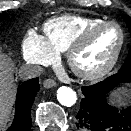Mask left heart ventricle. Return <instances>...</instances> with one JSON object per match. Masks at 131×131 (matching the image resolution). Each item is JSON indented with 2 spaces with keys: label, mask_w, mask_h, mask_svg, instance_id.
I'll return each instance as SVG.
<instances>
[{
  "label": "left heart ventricle",
  "mask_w": 131,
  "mask_h": 131,
  "mask_svg": "<svg viewBox=\"0 0 131 131\" xmlns=\"http://www.w3.org/2000/svg\"><path fill=\"white\" fill-rule=\"evenodd\" d=\"M119 41L120 32L115 26L100 29L76 55V65L83 70L101 68L111 59Z\"/></svg>",
  "instance_id": "1"
}]
</instances>
